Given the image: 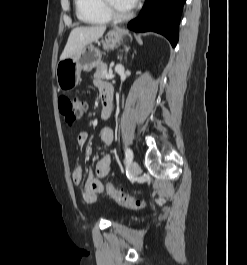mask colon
Listing matches in <instances>:
<instances>
[{"label": "colon", "instance_id": "1", "mask_svg": "<svg viewBox=\"0 0 247 265\" xmlns=\"http://www.w3.org/2000/svg\"><path fill=\"white\" fill-rule=\"evenodd\" d=\"M58 108L65 121L71 125L83 115L85 103L78 98L61 96L58 99ZM104 187L107 194L121 206L132 210H140L145 207L144 201L125 194L110 183L104 184Z\"/></svg>", "mask_w": 247, "mask_h": 265}]
</instances>
